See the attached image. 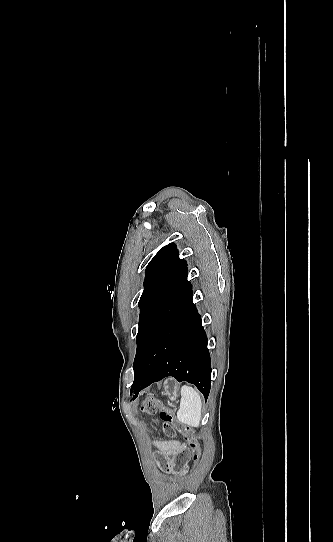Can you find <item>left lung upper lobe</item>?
I'll list each match as a JSON object with an SVG mask.
<instances>
[{
    "instance_id": "obj_1",
    "label": "left lung upper lobe",
    "mask_w": 333,
    "mask_h": 542,
    "mask_svg": "<svg viewBox=\"0 0 333 542\" xmlns=\"http://www.w3.org/2000/svg\"><path fill=\"white\" fill-rule=\"evenodd\" d=\"M187 262L179 258L175 243L162 247L146 268L144 291L139 300L137 351L133 364L138 373L157 332L192 291L187 280Z\"/></svg>"
}]
</instances>
